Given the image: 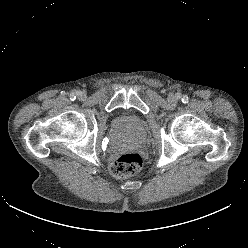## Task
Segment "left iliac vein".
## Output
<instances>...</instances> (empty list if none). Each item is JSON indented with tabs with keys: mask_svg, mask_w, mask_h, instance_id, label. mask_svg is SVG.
Listing matches in <instances>:
<instances>
[{
	"mask_svg": "<svg viewBox=\"0 0 248 248\" xmlns=\"http://www.w3.org/2000/svg\"><path fill=\"white\" fill-rule=\"evenodd\" d=\"M177 100V98L174 96V95H171L170 97H169V101L170 102H175Z\"/></svg>",
	"mask_w": 248,
	"mask_h": 248,
	"instance_id": "4c4485c4",
	"label": "left iliac vein"
}]
</instances>
